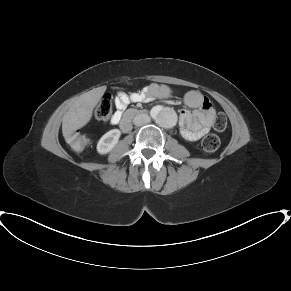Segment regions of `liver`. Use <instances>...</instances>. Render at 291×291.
Wrapping results in <instances>:
<instances>
[{"label": "liver", "instance_id": "liver-1", "mask_svg": "<svg viewBox=\"0 0 291 291\" xmlns=\"http://www.w3.org/2000/svg\"><path fill=\"white\" fill-rule=\"evenodd\" d=\"M106 90L105 86L93 89L74 101L62 118V133L68 138L84 127L91 119L93 110Z\"/></svg>", "mask_w": 291, "mask_h": 291}]
</instances>
